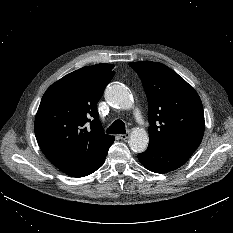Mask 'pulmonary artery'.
I'll list each match as a JSON object with an SVG mask.
<instances>
[{
  "label": "pulmonary artery",
  "mask_w": 233,
  "mask_h": 233,
  "mask_svg": "<svg viewBox=\"0 0 233 233\" xmlns=\"http://www.w3.org/2000/svg\"><path fill=\"white\" fill-rule=\"evenodd\" d=\"M134 117L139 123L142 122V116H141V113H140V111L138 109H136L134 111Z\"/></svg>",
  "instance_id": "1"
}]
</instances>
